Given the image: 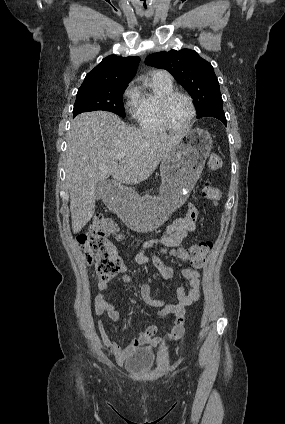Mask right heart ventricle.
I'll use <instances>...</instances> for the list:
<instances>
[{
  "mask_svg": "<svg viewBox=\"0 0 285 424\" xmlns=\"http://www.w3.org/2000/svg\"><path fill=\"white\" fill-rule=\"evenodd\" d=\"M171 91H173L172 82L154 74L143 86L137 88V101L132 115L142 130L154 134L168 131L160 120L159 104Z\"/></svg>",
  "mask_w": 285,
  "mask_h": 424,
  "instance_id": "right-heart-ventricle-1",
  "label": "right heart ventricle"
}]
</instances>
